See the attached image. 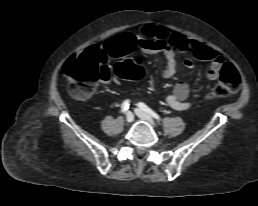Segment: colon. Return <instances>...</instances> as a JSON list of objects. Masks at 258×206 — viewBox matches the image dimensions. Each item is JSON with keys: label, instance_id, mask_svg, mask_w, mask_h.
Wrapping results in <instances>:
<instances>
[{"label": "colon", "instance_id": "1", "mask_svg": "<svg viewBox=\"0 0 258 206\" xmlns=\"http://www.w3.org/2000/svg\"><path fill=\"white\" fill-rule=\"evenodd\" d=\"M129 45L134 48L133 42ZM63 72L69 82L70 94L78 100L87 99L96 85L110 76L106 55L95 48L73 55L65 63ZM115 74L124 79L139 80L144 75V67L140 60L129 59L116 64ZM240 82L237 69L232 64L225 63L220 71V81L212 89L208 98L233 94L238 91Z\"/></svg>", "mask_w": 258, "mask_h": 206}]
</instances>
